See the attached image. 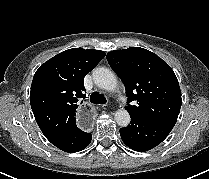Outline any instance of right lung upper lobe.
Segmentation results:
<instances>
[{
  "mask_svg": "<svg viewBox=\"0 0 209 179\" xmlns=\"http://www.w3.org/2000/svg\"><path fill=\"white\" fill-rule=\"evenodd\" d=\"M104 57L100 50L73 48L57 54L36 71L30 104L38 126L51 143L77 127L78 102L86 97L84 76Z\"/></svg>",
  "mask_w": 209,
  "mask_h": 179,
  "instance_id": "obj_1",
  "label": "right lung upper lobe"
}]
</instances>
